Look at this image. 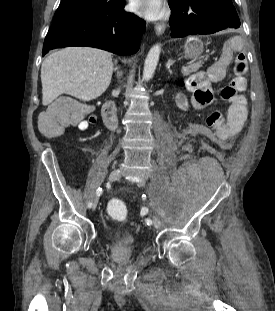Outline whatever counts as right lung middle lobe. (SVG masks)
<instances>
[{
  "mask_svg": "<svg viewBox=\"0 0 275 311\" xmlns=\"http://www.w3.org/2000/svg\"><path fill=\"white\" fill-rule=\"evenodd\" d=\"M116 1L117 0H62L54 15L53 22L74 15L104 10L112 7Z\"/></svg>",
  "mask_w": 275,
  "mask_h": 311,
  "instance_id": "1",
  "label": "right lung middle lobe"
}]
</instances>
